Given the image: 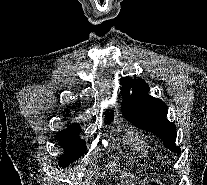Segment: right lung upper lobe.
<instances>
[{
    "mask_svg": "<svg viewBox=\"0 0 207 185\" xmlns=\"http://www.w3.org/2000/svg\"><path fill=\"white\" fill-rule=\"evenodd\" d=\"M113 114L111 112L107 113L106 114V123H110L112 120H113ZM69 127H74V128H80V126L78 124H75V125H70Z\"/></svg>",
    "mask_w": 207,
    "mask_h": 185,
    "instance_id": "right-lung-upper-lobe-1",
    "label": "right lung upper lobe"
}]
</instances>
